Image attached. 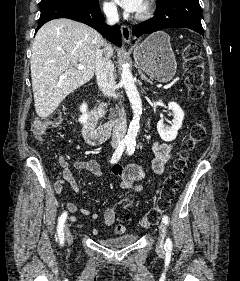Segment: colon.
I'll list each match as a JSON object with an SVG mask.
<instances>
[{
	"label": "colon",
	"mask_w": 240,
	"mask_h": 281,
	"mask_svg": "<svg viewBox=\"0 0 240 281\" xmlns=\"http://www.w3.org/2000/svg\"><path fill=\"white\" fill-rule=\"evenodd\" d=\"M184 82L191 99H200L203 94L204 65L200 54V47L193 41H187L182 51ZM61 111H55L48 117L37 119L33 124V132L38 139H42L53 128L62 123ZM206 134L205 124L198 120L190 130L186 140V147L175 159L166 176L160 196L155 204L142 218L141 225L145 228L157 223L161 214L167 210L179 183L183 180L191 150L202 141ZM115 218L119 222H127L130 217L129 200H123L114 206Z\"/></svg>",
	"instance_id": "colon-1"
}]
</instances>
